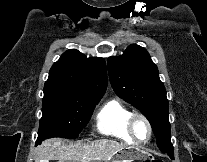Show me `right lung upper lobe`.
<instances>
[{
    "mask_svg": "<svg viewBox=\"0 0 207 162\" xmlns=\"http://www.w3.org/2000/svg\"><path fill=\"white\" fill-rule=\"evenodd\" d=\"M106 87L104 59L87 58L78 50L70 49L50 69L44 91L102 97Z\"/></svg>",
    "mask_w": 207,
    "mask_h": 162,
    "instance_id": "1",
    "label": "right lung upper lobe"
}]
</instances>
